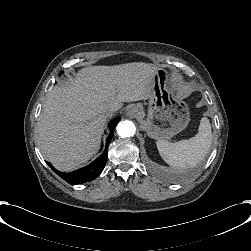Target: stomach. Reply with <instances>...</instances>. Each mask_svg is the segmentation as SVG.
Wrapping results in <instances>:
<instances>
[{
  "label": "stomach",
  "mask_w": 251,
  "mask_h": 251,
  "mask_svg": "<svg viewBox=\"0 0 251 251\" xmlns=\"http://www.w3.org/2000/svg\"><path fill=\"white\" fill-rule=\"evenodd\" d=\"M169 74L157 68L154 75V95L149 98L147 117L144 109L136 117L150 138L166 140L184 130L190 121L189 108L185 101L176 99L168 87Z\"/></svg>",
  "instance_id": "stomach-1"
}]
</instances>
